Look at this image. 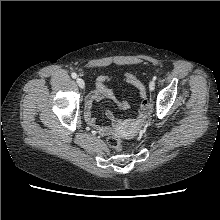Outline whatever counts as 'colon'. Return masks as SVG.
I'll use <instances>...</instances> for the list:
<instances>
[{
	"mask_svg": "<svg viewBox=\"0 0 220 220\" xmlns=\"http://www.w3.org/2000/svg\"><path fill=\"white\" fill-rule=\"evenodd\" d=\"M150 109V104L148 100L143 101L142 112L147 113ZM109 146L115 151H121L123 149L121 140L116 136H110L107 139Z\"/></svg>",
	"mask_w": 220,
	"mask_h": 220,
	"instance_id": "colon-1",
	"label": "colon"
}]
</instances>
